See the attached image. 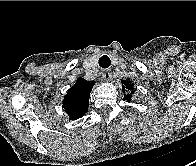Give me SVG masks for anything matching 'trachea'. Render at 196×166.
Returning a JSON list of instances; mask_svg holds the SVG:
<instances>
[{
  "label": "trachea",
  "instance_id": "1",
  "mask_svg": "<svg viewBox=\"0 0 196 166\" xmlns=\"http://www.w3.org/2000/svg\"><path fill=\"white\" fill-rule=\"evenodd\" d=\"M99 65L102 68H108L110 66V58L107 55H103L99 59Z\"/></svg>",
  "mask_w": 196,
  "mask_h": 166
}]
</instances>
